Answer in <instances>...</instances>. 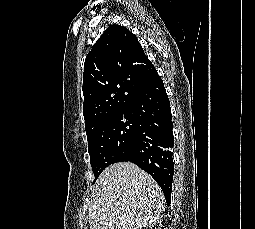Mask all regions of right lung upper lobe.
I'll list each match as a JSON object with an SVG mask.
<instances>
[{
    "label": "right lung upper lobe",
    "instance_id": "obj_1",
    "mask_svg": "<svg viewBox=\"0 0 255 229\" xmlns=\"http://www.w3.org/2000/svg\"><path fill=\"white\" fill-rule=\"evenodd\" d=\"M155 72L137 37L123 26H109L84 63L83 116L87 138L124 110Z\"/></svg>",
    "mask_w": 255,
    "mask_h": 229
}]
</instances>
